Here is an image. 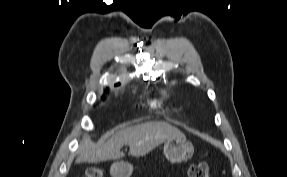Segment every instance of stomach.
Wrapping results in <instances>:
<instances>
[{
	"label": "stomach",
	"mask_w": 287,
	"mask_h": 177,
	"mask_svg": "<svg viewBox=\"0 0 287 177\" xmlns=\"http://www.w3.org/2000/svg\"><path fill=\"white\" fill-rule=\"evenodd\" d=\"M163 151L171 163H181L192 158L194 146L186 138H175L165 142ZM132 172L133 166L123 161L113 163L110 168L112 177H130Z\"/></svg>",
	"instance_id": "0dacf381"
}]
</instances>
